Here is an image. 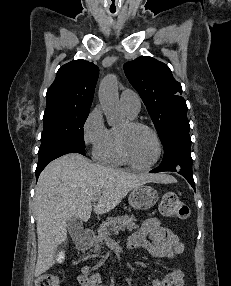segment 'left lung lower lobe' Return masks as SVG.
<instances>
[{
  "mask_svg": "<svg viewBox=\"0 0 231 286\" xmlns=\"http://www.w3.org/2000/svg\"><path fill=\"white\" fill-rule=\"evenodd\" d=\"M164 158L161 165L150 172H177L184 176L195 190L190 154L189 132H179L170 136L164 143Z\"/></svg>",
  "mask_w": 231,
  "mask_h": 286,
  "instance_id": "1",
  "label": "left lung lower lobe"
}]
</instances>
